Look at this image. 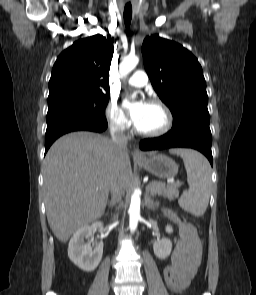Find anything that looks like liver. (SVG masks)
<instances>
[{
	"label": "liver",
	"mask_w": 256,
	"mask_h": 295,
	"mask_svg": "<svg viewBox=\"0 0 256 295\" xmlns=\"http://www.w3.org/2000/svg\"><path fill=\"white\" fill-rule=\"evenodd\" d=\"M42 173L48 223L64 243L104 214L114 174L124 189L128 187V150H117L110 139L99 134L69 133L52 144Z\"/></svg>",
	"instance_id": "6515ba94"
}]
</instances>
